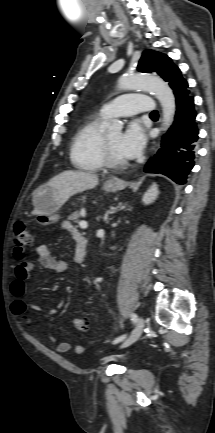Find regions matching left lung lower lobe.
<instances>
[{
    "label": "left lung lower lobe",
    "instance_id": "0a47b994",
    "mask_svg": "<svg viewBox=\"0 0 215 433\" xmlns=\"http://www.w3.org/2000/svg\"><path fill=\"white\" fill-rule=\"evenodd\" d=\"M176 98V115L173 125L162 140V148L149 160L145 172L161 173L177 184H185L187 174L194 166L198 127L194 99L188 83L179 78L170 84Z\"/></svg>",
    "mask_w": 215,
    "mask_h": 433
}]
</instances>
